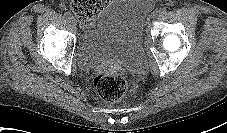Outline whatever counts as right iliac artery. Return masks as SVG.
<instances>
[{"instance_id":"obj_1","label":"right iliac artery","mask_w":227,"mask_h":133,"mask_svg":"<svg viewBox=\"0 0 227 133\" xmlns=\"http://www.w3.org/2000/svg\"><path fill=\"white\" fill-rule=\"evenodd\" d=\"M65 17H67V18H71V13L70 12H65Z\"/></svg>"}]
</instances>
